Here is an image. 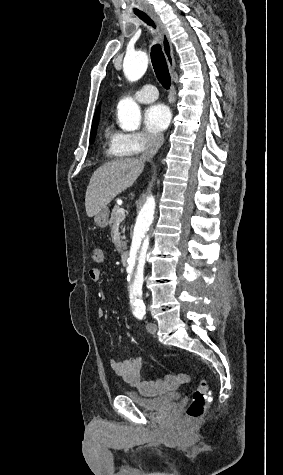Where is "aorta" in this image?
<instances>
[{"label": "aorta", "instance_id": "762f6f07", "mask_svg": "<svg viewBox=\"0 0 283 475\" xmlns=\"http://www.w3.org/2000/svg\"><path fill=\"white\" fill-rule=\"evenodd\" d=\"M148 67V56L144 51L128 53L123 62L126 78L133 82L140 79ZM120 127L134 131L140 126L141 111L137 103L130 97L122 99L117 106ZM159 210L153 195L141 198L134 223L132 225V242L127 259V281L129 301L133 308H144L142 299L143 273L147 250L157 228Z\"/></svg>", "mask_w": 283, "mask_h": 475}]
</instances>
